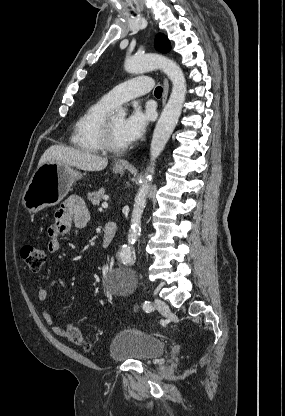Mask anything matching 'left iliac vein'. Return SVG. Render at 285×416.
Returning <instances> with one entry per match:
<instances>
[{
    "instance_id": "left-iliac-vein-1",
    "label": "left iliac vein",
    "mask_w": 285,
    "mask_h": 416,
    "mask_svg": "<svg viewBox=\"0 0 285 416\" xmlns=\"http://www.w3.org/2000/svg\"><path fill=\"white\" fill-rule=\"evenodd\" d=\"M155 307H156L157 310H159L161 313H163L165 315L169 311L168 305L166 304V302L161 300V299H158V298L155 299Z\"/></svg>"
}]
</instances>
